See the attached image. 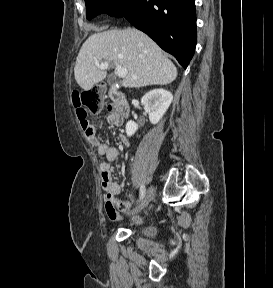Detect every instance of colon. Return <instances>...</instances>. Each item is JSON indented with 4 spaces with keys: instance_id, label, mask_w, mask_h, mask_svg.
I'll return each instance as SVG.
<instances>
[{
    "instance_id": "5ec220e1",
    "label": "colon",
    "mask_w": 273,
    "mask_h": 288,
    "mask_svg": "<svg viewBox=\"0 0 273 288\" xmlns=\"http://www.w3.org/2000/svg\"><path fill=\"white\" fill-rule=\"evenodd\" d=\"M72 101L81 126L86 130L90 126L89 115L97 114L103 108L100 90L93 88L82 92L74 91Z\"/></svg>"
}]
</instances>
